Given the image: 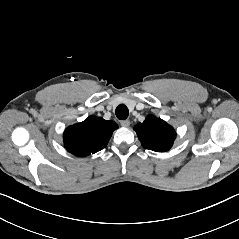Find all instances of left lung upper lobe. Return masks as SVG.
Here are the masks:
<instances>
[{"label": "left lung upper lobe", "instance_id": "left-lung-upper-lobe-1", "mask_svg": "<svg viewBox=\"0 0 239 239\" xmlns=\"http://www.w3.org/2000/svg\"><path fill=\"white\" fill-rule=\"evenodd\" d=\"M134 129L142 146L156 152L169 150L176 137L175 130L169 124L153 115L147 116Z\"/></svg>", "mask_w": 239, "mask_h": 239}]
</instances>
